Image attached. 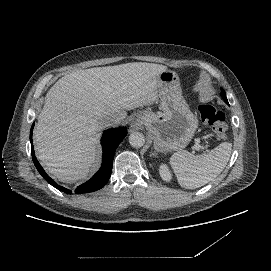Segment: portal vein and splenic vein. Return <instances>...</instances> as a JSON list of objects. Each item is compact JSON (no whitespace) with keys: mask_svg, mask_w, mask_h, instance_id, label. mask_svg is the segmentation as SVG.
Returning a JSON list of instances; mask_svg holds the SVG:
<instances>
[{"mask_svg":"<svg viewBox=\"0 0 271 271\" xmlns=\"http://www.w3.org/2000/svg\"><path fill=\"white\" fill-rule=\"evenodd\" d=\"M192 149L194 152H199L201 149V146L198 141H192Z\"/></svg>","mask_w":271,"mask_h":271,"instance_id":"1","label":"portal vein and splenic vein"}]
</instances>
